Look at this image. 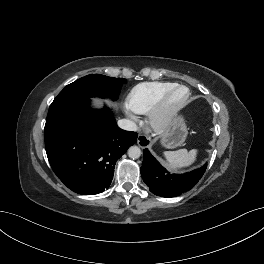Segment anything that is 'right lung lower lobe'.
<instances>
[{
	"instance_id": "98d812e1",
	"label": "right lung lower lobe",
	"mask_w": 264,
	"mask_h": 264,
	"mask_svg": "<svg viewBox=\"0 0 264 264\" xmlns=\"http://www.w3.org/2000/svg\"><path fill=\"white\" fill-rule=\"evenodd\" d=\"M44 135L53 171L69 189L84 195L107 189L116 161L137 142V133L120 129L110 109H91L89 99L46 120Z\"/></svg>"
}]
</instances>
